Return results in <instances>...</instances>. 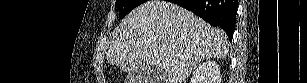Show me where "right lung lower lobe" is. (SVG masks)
Segmentation results:
<instances>
[{"instance_id": "right-lung-lower-lobe-1", "label": "right lung lower lobe", "mask_w": 307, "mask_h": 83, "mask_svg": "<svg viewBox=\"0 0 307 83\" xmlns=\"http://www.w3.org/2000/svg\"><path fill=\"white\" fill-rule=\"evenodd\" d=\"M171 2L192 11L212 26H220L232 40L237 0H172Z\"/></svg>"}]
</instances>
